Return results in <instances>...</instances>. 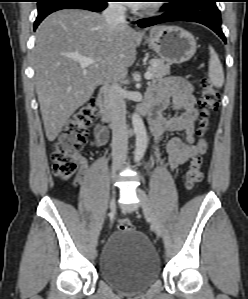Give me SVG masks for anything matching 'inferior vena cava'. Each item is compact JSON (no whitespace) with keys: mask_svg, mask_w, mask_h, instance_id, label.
Here are the masks:
<instances>
[{"mask_svg":"<svg viewBox=\"0 0 248 299\" xmlns=\"http://www.w3.org/2000/svg\"><path fill=\"white\" fill-rule=\"evenodd\" d=\"M125 7L118 2H111L103 11L105 21L110 26L124 25ZM112 137L113 166L120 167L126 161L128 130L126 124V105L123 89L113 82L110 89L109 100Z\"/></svg>","mask_w":248,"mask_h":299,"instance_id":"inferior-vena-cava-1","label":"inferior vena cava"}]
</instances>
